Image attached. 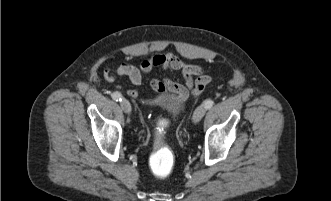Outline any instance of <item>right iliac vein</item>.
Instances as JSON below:
<instances>
[{
    "label": "right iliac vein",
    "instance_id": "1",
    "mask_svg": "<svg viewBox=\"0 0 331 201\" xmlns=\"http://www.w3.org/2000/svg\"><path fill=\"white\" fill-rule=\"evenodd\" d=\"M120 106L125 113L129 114L131 112V105L128 100L122 99Z\"/></svg>",
    "mask_w": 331,
    "mask_h": 201
}]
</instances>
